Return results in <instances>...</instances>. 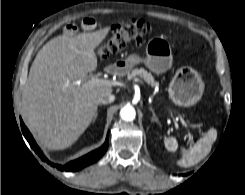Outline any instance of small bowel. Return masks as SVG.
Listing matches in <instances>:
<instances>
[{"mask_svg":"<svg viewBox=\"0 0 245 195\" xmlns=\"http://www.w3.org/2000/svg\"><path fill=\"white\" fill-rule=\"evenodd\" d=\"M96 26V21L93 18L87 17L82 21V28L85 30H92ZM77 27L74 24H68L64 28V33L66 35H74L77 32Z\"/></svg>","mask_w":245,"mask_h":195,"instance_id":"small-bowel-1","label":"small bowel"}]
</instances>
